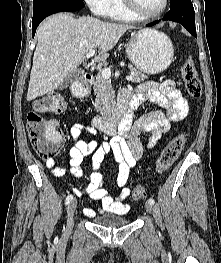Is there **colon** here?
I'll list each match as a JSON object with an SVG mask.
<instances>
[{
	"label": "colon",
	"mask_w": 221,
	"mask_h": 263,
	"mask_svg": "<svg viewBox=\"0 0 221 263\" xmlns=\"http://www.w3.org/2000/svg\"><path fill=\"white\" fill-rule=\"evenodd\" d=\"M181 75L187 93L192 99H199L202 94V83L197 69L191 59H186L181 67ZM66 101L59 93L46 94L35 100L33 110L27 116V129L30 143L41 159L55 157L63 143L64 135L57 120L44 118L42 113L58 114L65 110ZM186 141L184 134L173 137L162 150L155 166L159 175L170 168L180 155ZM146 195L144 186H137L132 191V198L139 200Z\"/></svg>",
	"instance_id": "1"
}]
</instances>
